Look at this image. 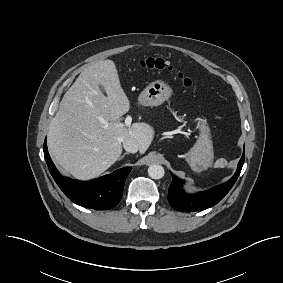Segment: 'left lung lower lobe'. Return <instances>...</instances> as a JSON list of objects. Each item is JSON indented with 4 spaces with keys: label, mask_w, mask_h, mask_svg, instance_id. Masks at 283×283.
<instances>
[{
    "label": "left lung lower lobe",
    "mask_w": 283,
    "mask_h": 283,
    "mask_svg": "<svg viewBox=\"0 0 283 283\" xmlns=\"http://www.w3.org/2000/svg\"><path fill=\"white\" fill-rule=\"evenodd\" d=\"M244 163V153L241 157L234 176L227 182L218 185L210 190L197 194H187L182 189V180L172 175V183L168 191L170 205L179 211H199L217 204L232 188L237 180Z\"/></svg>",
    "instance_id": "obj_1"
}]
</instances>
